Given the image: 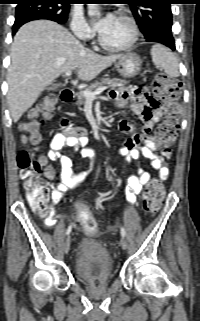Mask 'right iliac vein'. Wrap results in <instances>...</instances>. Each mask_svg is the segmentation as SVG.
I'll return each mask as SVG.
<instances>
[{"instance_id": "1", "label": "right iliac vein", "mask_w": 200, "mask_h": 321, "mask_svg": "<svg viewBox=\"0 0 200 321\" xmlns=\"http://www.w3.org/2000/svg\"><path fill=\"white\" fill-rule=\"evenodd\" d=\"M70 242H71V239H70V236H68L64 242V252L65 253H68V251L70 249Z\"/></svg>"}]
</instances>
